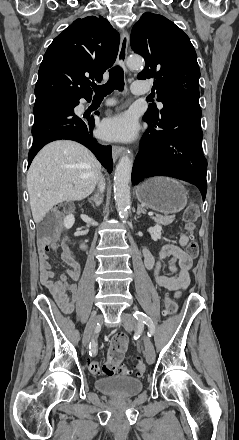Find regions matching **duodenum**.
Returning a JSON list of instances; mask_svg holds the SVG:
<instances>
[{
    "mask_svg": "<svg viewBox=\"0 0 239 440\" xmlns=\"http://www.w3.org/2000/svg\"><path fill=\"white\" fill-rule=\"evenodd\" d=\"M82 247L85 249L86 248V244L83 242L82 243Z\"/></svg>",
    "mask_w": 239,
    "mask_h": 440,
    "instance_id": "410a0bca",
    "label": "duodenum"
}]
</instances>
